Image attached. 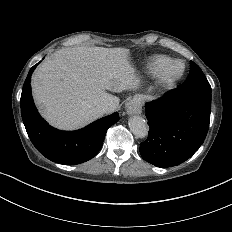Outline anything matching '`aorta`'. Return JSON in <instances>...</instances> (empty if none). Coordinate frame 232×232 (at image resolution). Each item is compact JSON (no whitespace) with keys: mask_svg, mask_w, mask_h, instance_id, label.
<instances>
[{"mask_svg":"<svg viewBox=\"0 0 232 232\" xmlns=\"http://www.w3.org/2000/svg\"><path fill=\"white\" fill-rule=\"evenodd\" d=\"M131 132L137 138H145L148 135L149 127L146 121L140 116H133L128 121Z\"/></svg>","mask_w":232,"mask_h":232,"instance_id":"obj_1","label":"aorta"}]
</instances>
